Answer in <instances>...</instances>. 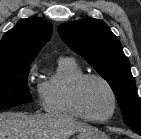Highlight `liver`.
<instances>
[{"mask_svg": "<svg viewBox=\"0 0 141 139\" xmlns=\"http://www.w3.org/2000/svg\"><path fill=\"white\" fill-rule=\"evenodd\" d=\"M86 127L89 125L67 114H0V139H69Z\"/></svg>", "mask_w": 141, "mask_h": 139, "instance_id": "6515ba94", "label": "liver"}]
</instances>
